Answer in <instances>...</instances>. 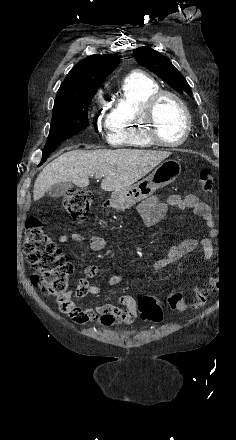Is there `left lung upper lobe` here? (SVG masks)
Segmentation results:
<instances>
[{
	"mask_svg": "<svg viewBox=\"0 0 236 440\" xmlns=\"http://www.w3.org/2000/svg\"><path fill=\"white\" fill-rule=\"evenodd\" d=\"M136 61L159 76L174 90L192 95L191 88L182 74L172 65L170 60L150 47L143 46L133 51Z\"/></svg>",
	"mask_w": 236,
	"mask_h": 440,
	"instance_id": "5c2ea615",
	"label": "left lung upper lobe"
}]
</instances>
